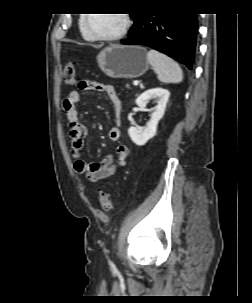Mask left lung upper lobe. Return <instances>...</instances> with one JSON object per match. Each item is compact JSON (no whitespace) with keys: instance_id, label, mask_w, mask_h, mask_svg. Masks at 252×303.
Returning a JSON list of instances; mask_svg holds the SVG:
<instances>
[{"instance_id":"obj_1","label":"left lung upper lobe","mask_w":252,"mask_h":303,"mask_svg":"<svg viewBox=\"0 0 252 303\" xmlns=\"http://www.w3.org/2000/svg\"><path fill=\"white\" fill-rule=\"evenodd\" d=\"M138 16H139V14L131 15V17L134 18V22H136ZM132 28H133V27H132ZM132 28H131V29H132ZM131 29H130L129 33L131 32Z\"/></svg>"}]
</instances>
